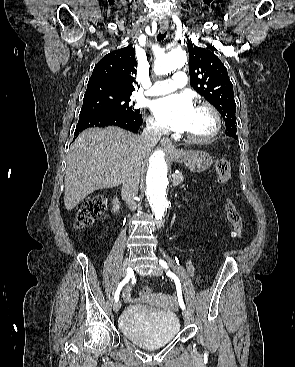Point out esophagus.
Instances as JSON below:
<instances>
[{"instance_id": "esophagus-1", "label": "esophagus", "mask_w": 295, "mask_h": 367, "mask_svg": "<svg viewBox=\"0 0 295 367\" xmlns=\"http://www.w3.org/2000/svg\"><path fill=\"white\" fill-rule=\"evenodd\" d=\"M167 29H168L167 25H163L160 28L161 32H165ZM161 144L164 147V149L168 152H174L176 150L173 143H172V141L167 137H163L161 139Z\"/></svg>"}]
</instances>
